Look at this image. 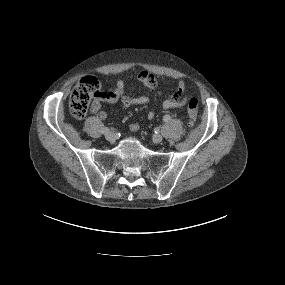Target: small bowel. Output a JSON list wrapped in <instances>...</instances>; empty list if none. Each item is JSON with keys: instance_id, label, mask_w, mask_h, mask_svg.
Returning <instances> with one entry per match:
<instances>
[{"instance_id": "obj_1", "label": "small bowel", "mask_w": 285, "mask_h": 285, "mask_svg": "<svg viewBox=\"0 0 285 285\" xmlns=\"http://www.w3.org/2000/svg\"><path fill=\"white\" fill-rule=\"evenodd\" d=\"M138 80L144 87L151 91H154L158 86L155 77L147 72L140 73ZM185 88V82L180 80L171 95L163 101V110L168 111L170 109L185 106L188 101V97L184 96ZM148 101L149 97L147 95L135 96L127 94L125 82L123 80H119L114 87L107 91L101 92L100 95L94 99L91 105V113L96 119L105 120L107 115L102 110L103 103L113 104L118 102L120 103V106L125 109L133 105L146 104ZM154 117V111H149L147 113V118L149 120H153ZM129 127L132 131H137L139 129V124L132 123Z\"/></svg>"}]
</instances>
